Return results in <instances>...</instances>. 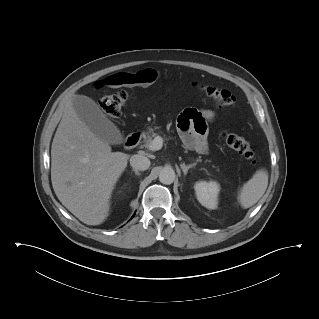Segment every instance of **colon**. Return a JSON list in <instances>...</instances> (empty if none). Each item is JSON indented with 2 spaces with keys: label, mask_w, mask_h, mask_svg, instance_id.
<instances>
[{
  "label": "colon",
  "mask_w": 319,
  "mask_h": 319,
  "mask_svg": "<svg viewBox=\"0 0 319 319\" xmlns=\"http://www.w3.org/2000/svg\"><path fill=\"white\" fill-rule=\"evenodd\" d=\"M116 81L119 85L130 82L129 78L122 76V74L116 75ZM201 89L204 94L208 98L212 99L220 108H231L236 104L234 95L226 89L216 88L213 86H203ZM127 99V92L120 90L113 95L103 96L99 101V105L106 115L112 118H118L122 114ZM223 139L229 147L239 152L245 159L252 163L256 161V147L243 137L234 132L226 131L223 133Z\"/></svg>",
  "instance_id": "1"
}]
</instances>
